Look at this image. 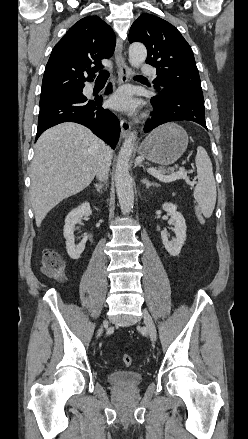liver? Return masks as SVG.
<instances>
[{
  "instance_id": "liver-1",
  "label": "liver",
  "mask_w": 248,
  "mask_h": 439,
  "mask_svg": "<svg viewBox=\"0 0 248 439\" xmlns=\"http://www.w3.org/2000/svg\"><path fill=\"white\" fill-rule=\"evenodd\" d=\"M106 149L102 140L77 123L59 124L39 137L30 173L38 227L57 204L90 185Z\"/></svg>"
}]
</instances>
